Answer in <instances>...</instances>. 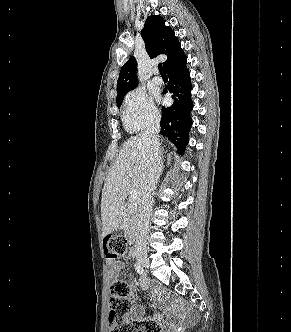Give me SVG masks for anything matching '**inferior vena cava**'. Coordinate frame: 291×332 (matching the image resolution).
I'll return each instance as SVG.
<instances>
[{"label":"inferior vena cava","mask_w":291,"mask_h":332,"mask_svg":"<svg viewBox=\"0 0 291 332\" xmlns=\"http://www.w3.org/2000/svg\"><path fill=\"white\" fill-rule=\"evenodd\" d=\"M160 132V118L156 117L151 125L141 135L142 141L146 144V173L142 187V200L136 224V245L137 253L146 254L147 238L153 194L161 174V157L158 133Z\"/></svg>","instance_id":"obj_1"}]
</instances>
